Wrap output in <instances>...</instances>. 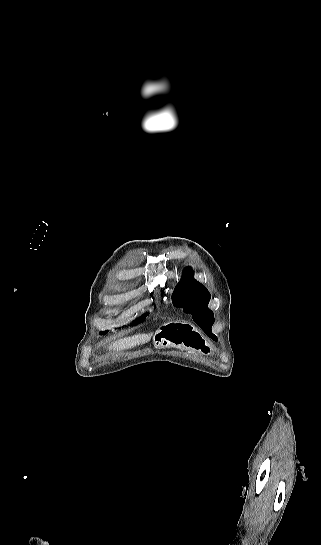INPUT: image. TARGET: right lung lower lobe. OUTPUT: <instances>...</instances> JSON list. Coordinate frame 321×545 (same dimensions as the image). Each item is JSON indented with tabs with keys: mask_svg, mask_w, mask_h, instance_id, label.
Here are the masks:
<instances>
[{
	"mask_svg": "<svg viewBox=\"0 0 321 545\" xmlns=\"http://www.w3.org/2000/svg\"><path fill=\"white\" fill-rule=\"evenodd\" d=\"M100 334H105V332H101Z\"/></svg>",
	"mask_w": 321,
	"mask_h": 545,
	"instance_id": "98d812e1",
	"label": "right lung lower lobe"
}]
</instances>
